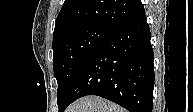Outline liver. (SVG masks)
<instances>
[{
    "label": "liver",
    "mask_w": 193,
    "mask_h": 112,
    "mask_svg": "<svg viewBox=\"0 0 193 112\" xmlns=\"http://www.w3.org/2000/svg\"><path fill=\"white\" fill-rule=\"evenodd\" d=\"M66 112H126V110L101 97L87 96L72 103Z\"/></svg>",
    "instance_id": "6515ba94"
}]
</instances>
